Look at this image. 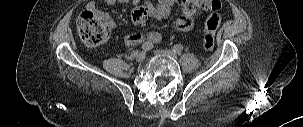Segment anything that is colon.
I'll use <instances>...</instances> for the list:
<instances>
[{
    "instance_id": "obj_1",
    "label": "colon",
    "mask_w": 303,
    "mask_h": 127,
    "mask_svg": "<svg viewBox=\"0 0 303 127\" xmlns=\"http://www.w3.org/2000/svg\"><path fill=\"white\" fill-rule=\"evenodd\" d=\"M205 22L203 46L205 50L212 51L215 46V35L221 23L219 9H212ZM77 28L82 41L90 47L98 46L108 38L107 25L100 19L95 11L86 10L77 19Z\"/></svg>"
}]
</instances>
